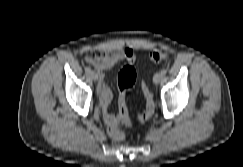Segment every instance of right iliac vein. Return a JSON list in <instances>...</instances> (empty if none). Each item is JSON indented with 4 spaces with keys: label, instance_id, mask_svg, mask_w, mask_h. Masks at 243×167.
Returning a JSON list of instances; mask_svg holds the SVG:
<instances>
[{
    "label": "right iliac vein",
    "instance_id": "right-iliac-vein-1",
    "mask_svg": "<svg viewBox=\"0 0 243 167\" xmlns=\"http://www.w3.org/2000/svg\"><path fill=\"white\" fill-rule=\"evenodd\" d=\"M89 75H90V77H91V79H92L93 81H97V80H98V75H97L94 71H91V72L89 73Z\"/></svg>",
    "mask_w": 243,
    "mask_h": 167
}]
</instances>
